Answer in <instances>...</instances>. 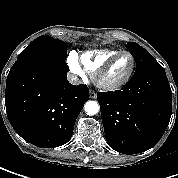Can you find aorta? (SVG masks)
I'll return each mask as SVG.
<instances>
[{"label":"aorta","instance_id":"aorta-1","mask_svg":"<svg viewBox=\"0 0 178 178\" xmlns=\"http://www.w3.org/2000/svg\"><path fill=\"white\" fill-rule=\"evenodd\" d=\"M85 112L88 115H95L99 112V104L96 101H87L84 106Z\"/></svg>","mask_w":178,"mask_h":178}]
</instances>
